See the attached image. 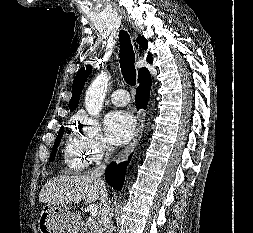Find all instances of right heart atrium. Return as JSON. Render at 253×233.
I'll return each instance as SVG.
<instances>
[{"mask_svg":"<svg viewBox=\"0 0 253 233\" xmlns=\"http://www.w3.org/2000/svg\"><path fill=\"white\" fill-rule=\"evenodd\" d=\"M74 121L76 135L80 138L89 160L95 162L103 160L111 147L98 120L81 112L76 115Z\"/></svg>","mask_w":253,"mask_h":233,"instance_id":"obj_1","label":"right heart atrium"}]
</instances>
